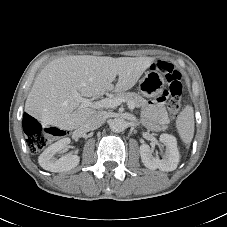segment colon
<instances>
[{
	"instance_id": "1",
	"label": "colon",
	"mask_w": 227,
	"mask_h": 227,
	"mask_svg": "<svg viewBox=\"0 0 227 227\" xmlns=\"http://www.w3.org/2000/svg\"><path fill=\"white\" fill-rule=\"evenodd\" d=\"M154 69H157L164 73L166 79L169 82V91L171 97L168 101V110L173 118H176L181 110V95H182V74L179 70L175 69L170 63L165 61H158L153 65ZM24 131L27 135V145L32 152L42 150L48 142L47 134L60 133L56 129H46L35 118L27 117L24 120Z\"/></svg>"
}]
</instances>
